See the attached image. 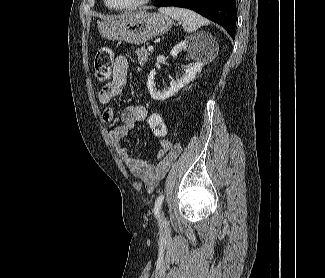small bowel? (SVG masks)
<instances>
[{"label": "small bowel", "instance_id": "c3829d8e", "mask_svg": "<svg viewBox=\"0 0 325 278\" xmlns=\"http://www.w3.org/2000/svg\"><path fill=\"white\" fill-rule=\"evenodd\" d=\"M128 68V58L124 55L117 56L113 65L112 79L102 87L98 94L99 102L104 107L102 120L105 123H110L114 119L115 112L111 101L126 88ZM147 115L148 111L144 105L133 104L125 107L121 113L122 123L111 129L109 136L132 175L144 183L149 192H152L179 156L181 146L163 137L161 138V149L154 161L131 156L128 150L123 147L121 141L135 123L144 121Z\"/></svg>", "mask_w": 325, "mask_h": 278}]
</instances>
